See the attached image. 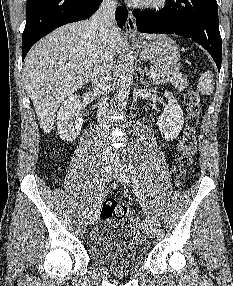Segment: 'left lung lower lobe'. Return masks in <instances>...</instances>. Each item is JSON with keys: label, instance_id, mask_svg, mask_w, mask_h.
<instances>
[{"label": "left lung lower lobe", "instance_id": "obj_1", "mask_svg": "<svg viewBox=\"0 0 233 286\" xmlns=\"http://www.w3.org/2000/svg\"><path fill=\"white\" fill-rule=\"evenodd\" d=\"M143 33L177 34L203 46L221 68L222 40L216 0H167L159 11L132 12Z\"/></svg>", "mask_w": 233, "mask_h": 286}]
</instances>
